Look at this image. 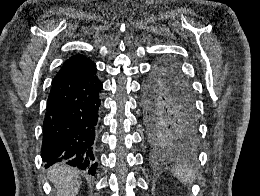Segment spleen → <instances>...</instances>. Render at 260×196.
Instances as JSON below:
<instances>
[{
  "label": "spleen",
  "mask_w": 260,
  "mask_h": 196,
  "mask_svg": "<svg viewBox=\"0 0 260 196\" xmlns=\"http://www.w3.org/2000/svg\"><path fill=\"white\" fill-rule=\"evenodd\" d=\"M171 172L177 180L184 182V184H193L196 178V172H193L191 166H188V164H184V166H180V164L171 166Z\"/></svg>",
  "instance_id": "3e777b00"
}]
</instances>
